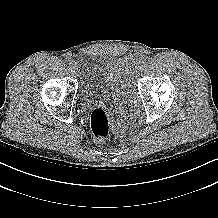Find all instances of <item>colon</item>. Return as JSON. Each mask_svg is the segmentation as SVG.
Here are the masks:
<instances>
[{"label": "colon", "mask_w": 218, "mask_h": 218, "mask_svg": "<svg viewBox=\"0 0 218 218\" xmlns=\"http://www.w3.org/2000/svg\"><path fill=\"white\" fill-rule=\"evenodd\" d=\"M90 127L97 144H104L110 136V120L105 109L95 108L90 115Z\"/></svg>", "instance_id": "obj_1"}]
</instances>
